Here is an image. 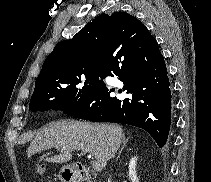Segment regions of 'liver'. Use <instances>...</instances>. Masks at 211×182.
<instances>
[{
    "label": "liver",
    "mask_w": 211,
    "mask_h": 182,
    "mask_svg": "<svg viewBox=\"0 0 211 182\" xmlns=\"http://www.w3.org/2000/svg\"><path fill=\"white\" fill-rule=\"evenodd\" d=\"M119 125L93 124L74 120H60L49 123L32 140L28 155L57 148L58 155L50 157L51 163H66L72 159V151L83 150L92 154L101 167L114 157L124 139Z\"/></svg>",
    "instance_id": "obj_1"
}]
</instances>
